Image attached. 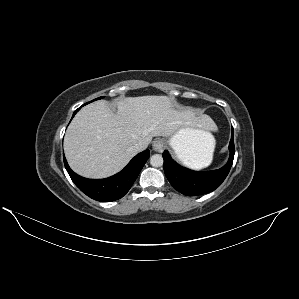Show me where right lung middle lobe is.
<instances>
[{
	"mask_svg": "<svg viewBox=\"0 0 299 299\" xmlns=\"http://www.w3.org/2000/svg\"><path fill=\"white\" fill-rule=\"evenodd\" d=\"M101 98H103V97H99V98H97V99H95V100H98V99H101ZM94 101V100H93ZM92 102V101H91Z\"/></svg>",
	"mask_w": 299,
	"mask_h": 299,
	"instance_id": "dd1d6c3e",
	"label": "right lung middle lobe"
}]
</instances>
